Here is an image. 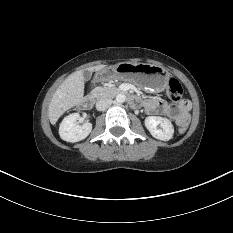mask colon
<instances>
[{"instance_id":"obj_1","label":"colon","mask_w":233,"mask_h":233,"mask_svg":"<svg viewBox=\"0 0 233 233\" xmlns=\"http://www.w3.org/2000/svg\"><path fill=\"white\" fill-rule=\"evenodd\" d=\"M167 95L174 102H178L182 99L183 87L178 80L171 79L169 81L168 86H167ZM187 126H188L187 123L183 124L182 126L179 127V131L181 133L185 132L187 129Z\"/></svg>"}]
</instances>
